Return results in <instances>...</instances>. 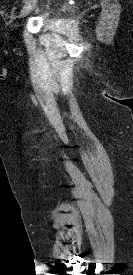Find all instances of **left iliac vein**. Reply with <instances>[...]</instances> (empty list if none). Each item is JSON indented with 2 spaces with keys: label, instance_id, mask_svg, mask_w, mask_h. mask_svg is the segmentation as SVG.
Listing matches in <instances>:
<instances>
[{
  "label": "left iliac vein",
  "instance_id": "1",
  "mask_svg": "<svg viewBox=\"0 0 133 275\" xmlns=\"http://www.w3.org/2000/svg\"><path fill=\"white\" fill-rule=\"evenodd\" d=\"M37 1L38 0H27L21 9L20 17L23 18V17L27 16L32 11V9L35 7Z\"/></svg>",
  "mask_w": 133,
  "mask_h": 275
}]
</instances>
